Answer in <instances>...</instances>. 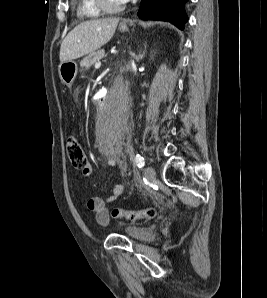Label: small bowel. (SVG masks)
<instances>
[{"label":"small bowel","instance_id":"obj_1","mask_svg":"<svg viewBox=\"0 0 267 298\" xmlns=\"http://www.w3.org/2000/svg\"><path fill=\"white\" fill-rule=\"evenodd\" d=\"M122 172L125 168L120 166ZM94 171V168L91 164H87L86 169L84 170V175L89 176ZM124 186L120 183L115 184L111 194L106 198L101 197H92L86 202V208L89 212L93 213L95 220L99 225L107 226L109 224V209L108 204L115 202L123 193Z\"/></svg>","mask_w":267,"mask_h":298}]
</instances>
